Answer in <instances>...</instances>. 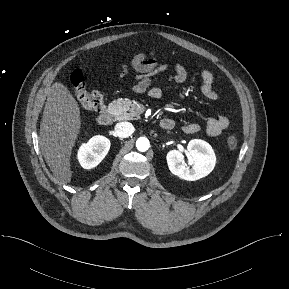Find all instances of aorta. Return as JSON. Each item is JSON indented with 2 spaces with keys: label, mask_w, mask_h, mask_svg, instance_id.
I'll return each instance as SVG.
<instances>
[{
  "label": "aorta",
  "mask_w": 289,
  "mask_h": 289,
  "mask_svg": "<svg viewBox=\"0 0 289 289\" xmlns=\"http://www.w3.org/2000/svg\"><path fill=\"white\" fill-rule=\"evenodd\" d=\"M150 143L146 137H140L136 141V148L141 151L145 152L149 149Z\"/></svg>",
  "instance_id": "1"
}]
</instances>
